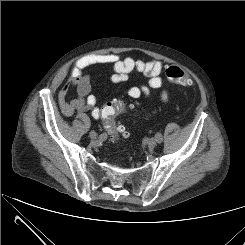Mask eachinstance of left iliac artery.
<instances>
[{"instance_id": "left-iliac-artery-1", "label": "left iliac artery", "mask_w": 245, "mask_h": 245, "mask_svg": "<svg viewBox=\"0 0 245 245\" xmlns=\"http://www.w3.org/2000/svg\"><path fill=\"white\" fill-rule=\"evenodd\" d=\"M155 137H156V140H157L158 143H161L162 142L163 139H162V135L160 133H157L155 135Z\"/></svg>"}]
</instances>
